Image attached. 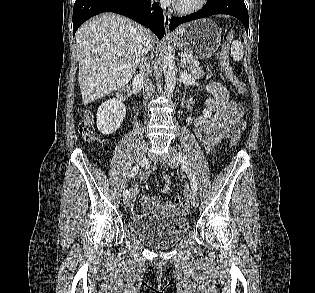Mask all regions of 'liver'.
I'll return each mask as SVG.
<instances>
[{
  "label": "liver",
  "mask_w": 315,
  "mask_h": 293,
  "mask_svg": "<svg viewBox=\"0 0 315 293\" xmlns=\"http://www.w3.org/2000/svg\"><path fill=\"white\" fill-rule=\"evenodd\" d=\"M145 42L142 26L113 13L93 18L78 29V80L84 105L129 83L140 63Z\"/></svg>",
  "instance_id": "obj_1"
}]
</instances>
